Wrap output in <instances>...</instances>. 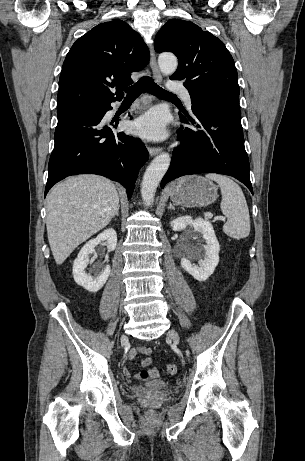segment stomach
<instances>
[{
    "instance_id": "0dacf381",
    "label": "stomach",
    "mask_w": 305,
    "mask_h": 461,
    "mask_svg": "<svg viewBox=\"0 0 305 461\" xmlns=\"http://www.w3.org/2000/svg\"><path fill=\"white\" fill-rule=\"evenodd\" d=\"M171 200L178 205L193 208L212 204L218 197L217 186L210 180L197 176H186L171 185Z\"/></svg>"
}]
</instances>
